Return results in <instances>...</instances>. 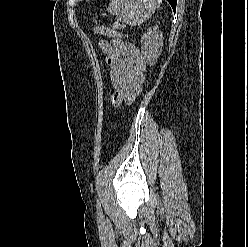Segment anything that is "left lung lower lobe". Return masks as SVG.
Wrapping results in <instances>:
<instances>
[{
  "label": "left lung lower lobe",
  "instance_id": "0a47b994",
  "mask_svg": "<svg viewBox=\"0 0 248 247\" xmlns=\"http://www.w3.org/2000/svg\"><path fill=\"white\" fill-rule=\"evenodd\" d=\"M170 5L172 6L173 10L175 11L176 10V3H177V0H167Z\"/></svg>",
  "mask_w": 248,
  "mask_h": 247
}]
</instances>
